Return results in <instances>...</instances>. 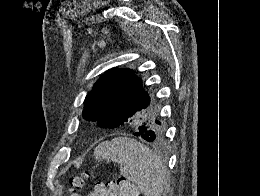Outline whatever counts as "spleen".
Segmentation results:
<instances>
[{"mask_svg":"<svg viewBox=\"0 0 260 196\" xmlns=\"http://www.w3.org/2000/svg\"><path fill=\"white\" fill-rule=\"evenodd\" d=\"M95 160H111L120 166L126 182H133L143 196H161L168 184V170L159 156L133 138L101 142L93 152Z\"/></svg>","mask_w":260,"mask_h":196,"instance_id":"3e777b00","label":"spleen"}]
</instances>
